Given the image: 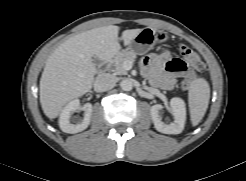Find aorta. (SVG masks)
Segmentation results:
<instances>
[{"mask_svg":"<svg viewBox=\"0 0 246 181\" xmlns=\"http://www.w3.org/2000/svg\"><path fill=\"white\" fill-rule=\"evenodd\" d=\"M120 87L123 91H131L133 88V83L131 82L130 79H123L120 82Z\"/></svg>","mask_w":246,"mask_h":181,"instance_id":"762f6f07","label":"aorta"}]
</instances>
